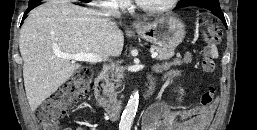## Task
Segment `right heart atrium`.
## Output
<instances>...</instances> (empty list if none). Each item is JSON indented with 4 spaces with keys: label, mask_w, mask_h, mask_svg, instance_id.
Segmentation results:
<instances>
[{
    "label": "right heart atrium",
    "mask_w": 257,
    "mask_h": 130,
    "mask_svg": "<svg viewBox=\"0 0 257 130\" xmlns=\"http://www.w3.org/2000/svg\"><path fill=\"white\" fill-rule=\"evenodd\" d=\"M104 5L114 8H125L129 5L130 0H105L101 2Z\"/></svg>",
    "instance_id": "right-heart-atrium-1"
}]
</instances>
